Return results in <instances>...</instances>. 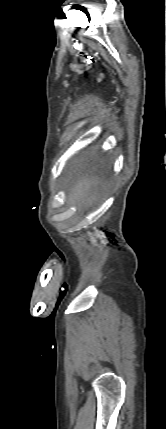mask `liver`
<instances>
[{
    "instance_id": "1",
    "label": "liver",
    "mask_w": 166,
    "mask_h": 429,
    "mask_svg": "<svg viewBox=\"0 0 166 429\" xmlns=\"http://www.w3.org/2000/svg\"><path fill=\"white\" fill-rule=\"evenodd\" d=\"M69 193L78 205L91 206L100 197V181L96 177L83 178L69 189Z\"/></svg>"
}]
</instances>
